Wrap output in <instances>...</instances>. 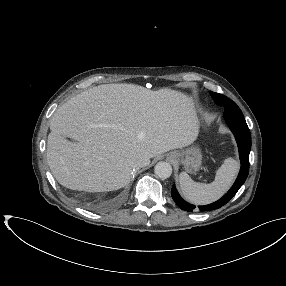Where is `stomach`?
I'll return each instance as SVG.
<instances>
[{"label":"stomach","instance_id":"0dacf381","mask_svg":"<svg viewBox=\"0 0 286 286\" xmlns=\"http://www.w3.org/2000/svg\"><path fill=\"white\" fill-rule=\"evenodd\" d=\"M168 157L179 161L188 173L198 171L202 163L201 151L198 147L194 146L187 147L180 151L170 152Z\"/></svg>","mask_w":286,"mask_h":286}]
</instances>
